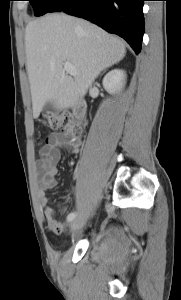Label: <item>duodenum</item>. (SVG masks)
<instances>
[{
	"label": "duodenum",
	"mask_w": 181,
	"mask_h": 300,
	"mask_svg": "<svg viewBox=\"0 0 181 300\" xmlns=\"http://www.w3.org/2000/svg\"><path fill=\"white\" fill-rule=\"evenodd\" d=\"M72 113L73 116L78 119L82 120L86 113V106L81 99H77L72 106Z\"/></svg>",
	"instance_id": "1"
}]
</instances>
